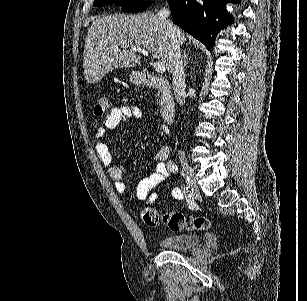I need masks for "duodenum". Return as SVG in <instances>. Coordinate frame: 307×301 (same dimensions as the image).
I'll return each instance as SVG.
<instances>
[{"label":"duodenum","instance_id":"obj_1","mask_svg":"<svg viewBox=\"0 0 307 301\" xmlns=\"http://www.w3.org/2000/svg\"><path fill=\"white\" fill-rule=\"evenodd\" d=\"M141 80L144 85L156 88L161 93L160 115L162 120L171 124L176 115L174 95L166 79L158 78L150 73H142Z\"/></svg>","mask_w":307,"mask_h":301}]
</instances>
